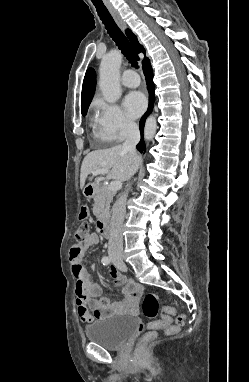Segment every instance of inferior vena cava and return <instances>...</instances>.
Instances as JSON below:
<instances>
[{"label":"inferior vena cava","mask_w":249,"mask_h":382,"mask_svg":"<svg viewBox=\"0 0 249 382\" xmlns=\"http://www.w3.org/2000/svg\"><path fill=\"white\" fill-rule=\"evenodd\" d=\"M140 141V131L136 123L130 122L126 126V139L122 148L129 153L133 159L131 176L138 169L136 145ZM131 178V177H130ZM129 178V179H130ZM129 185H127L128 187ZM127 192L122 195L114 204L110 221V237L108 255L110 258H121L123 256L122 225L126 214Z\"/></svg>","instance_id":"inferior-vena-cava-1"}]
</instances>
